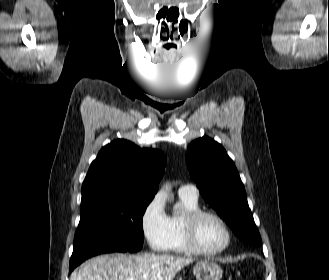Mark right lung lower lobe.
<instances>
[{
  "label": "right lung lower lobe",
  "instance_id": "1",
  "mask_svg": "<svg viewBox=\"0 0 329 280\" xmlns=\"http://www.w3.org/2000/svg\"><path fill=\"white\" fill-rule=\"evenodd\" d=\"M111 252H116V251H113V250H105V251H100V252H97V253H95V254H92V255H90V256L84 258L82 261H80V262H79L78 264H76L74 267L70 268V272H72V270H73L76 266H78L80 263H82L83 261H85L86 259H88V258H90V257H92V256H95V255H98V254H103V253H111Z\"/></svg>",
  "mask_w": 329,
  "mask_h": 280
}]
</instances>
